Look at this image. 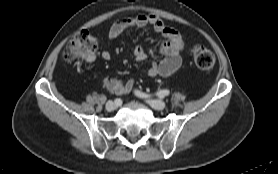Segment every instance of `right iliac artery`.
<instances>
[{
  "instance_id": "82829eb1",
  "label": "right iliac artery",
  "mask_w": 278,
  "mask_h": 174,
  "mask_svg": "<svg viewBox=\"0 0 278 174\" xmlns=\"http://www.w3.org/2000/svg\"><path fill=\"white\" fill-rule=\"evenodd\" d=\"M114 102L116 105H121V103H122L121 99H119V98L115 99Z\"/></svg>"
}]
</instances>
